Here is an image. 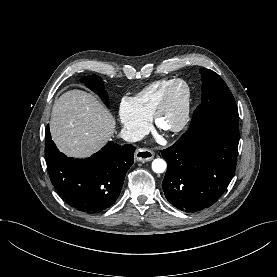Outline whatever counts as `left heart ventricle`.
<instances>
[{"label": "left heart ventricle", "mask_w": 277, "mask_h": 277, "mask_svg": "<svg viewBox=\"0 0 277 277\" xmlns=\"http://www.w3.org/2000/svg\"><path fill=\"white\" fill-rule=\"evenodd\" d=\"M184 95L185 90L181 85L173 90L168 106L160 120V126L162 129L170 128L177 122Z\"/></svg>", "instance_id": "b2bd125f"}]
</instances>
